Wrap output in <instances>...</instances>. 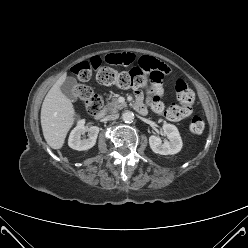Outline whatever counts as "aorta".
<instances>
[{
    "label": "aorta",
    "instance_id": "762f6f07",
    "mask_svg": "<svg viewBox=\"0 0 248 248\" xmlns=\"http://www.w3.org/2000/svg\"><path fill=\"white\" fill-rule=\"evenodd\" d=\"M122 120L126 123H130L134 120V114L131 111H125L122 114Z\"/></svg>",
    "mask_w": 248,
    "mask_h": 248
}]
</instances>
